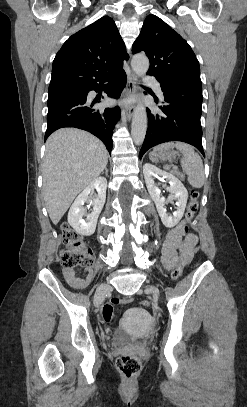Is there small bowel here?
Here are the masks:
<instances>
[{
	"mask_svg": "<svg viewBox=\"0 0 247 407\" xmlns=\"http://www.w3.org/2000/svg\"><path fill=\"white\" fill-rule=\"evenodd\" d=\"M197 243V237L194 234L184 236L183 221L170 229L164 238L161 259L164 268L171 271L179 262L184 265L188 264L193 257V249ZM86 276L78 278L75 270L64 268L63 275L67 283L76 288L83 289L90 284L94 277V272L91 268H86Z\"/></svg>",
	"mask_w": 247,
	"mask_h": 407,
	"instance_id": "c3829d8e",
	"label": "small bowel"
}]
</instances>
